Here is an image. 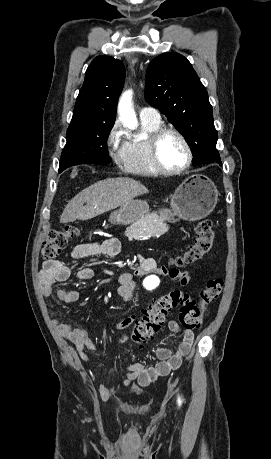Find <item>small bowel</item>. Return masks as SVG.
<instances>
[{
  "label": "small bowel",
  "mask_w": 271,
  "mask_h": 459,
  "mask_svg": "<svg viewBox=\"0 0 271 459\" xmlns=\"http://www.w3.org/2000/svg\"><path fill=\"white\" fill-rule=\"evenodd\" d=\"M120 251V243L116 238H108L101 241L86 242L76 245L70 257L74 261L82 260L89 257L106 256L115 257ZM139 267L133 273H124L119 277V287L117 293L125 301H129L133 297L135 283L134 278L144 276L148 273H159L171 280L178 281L180 285L186 286L191 281V276L187 271H180L177 268H158L153 258H144L138 256ZM70 269L59 260H49L43 263L39 273V285L44 296L51 295L54 291L57 298L62 303H74L79 299V293L75 290L64 288L54 289L56 283L66 281L70 277ZM81 280H89L94 276V272L89 267H81L76 273ZM136 320L134 313L128 315L118 323L111 325L115 330H122L133 324ZM55 329L62 335L67 337L76 347L79 356L82 360L88 361V350H96V343L88 337L87 333L77 327L66 323H61L57 320L53 321ZM170 331L181 338L176 349L171 350L164 347H158L154 351V355L158 362L153 367H145L142 363H134L128 366L127 378L123 382L125 387L130 386L134 382L140 387L148 386L158 377L167 376L172 371L178 369L192 349L194 342V334L191 329L181 327L176 320H171L168 323ZM125 341L124 336L119 337V342ZM100 392L103 397L109 398L113 391L105 386H101Z\"/></svg>",
  "instance_id": "c3829d8e"
}]
</instances>
